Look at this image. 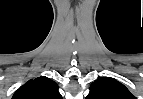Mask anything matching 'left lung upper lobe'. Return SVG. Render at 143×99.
<instances>
[{
    "label": "left lung upper lobe",
    "instance_id": "left-lung-upper-lobe-1",
    "mask_svg": "<svg viewBox=\"0 0 143 99\" xmlns=\"http://www.w3.org/2000/svg\"><path fill=\"white\" fill-rule=\"evenodd\" d=\"M86 99H136V97L116 79L105 77L91 84Z\"/></svg>",
    "mask_w": 143,
    "mask_h": 99
}]
</instances>
